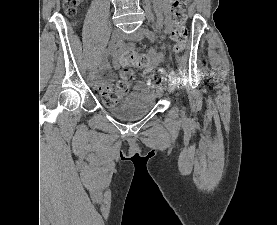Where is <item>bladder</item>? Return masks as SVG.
<instances>
[{"label":"bladder","mask_w":277,"mask_h":225,"mask_svg":"<svg viewBox=\"0 0 277 225\" xmlns=\"http://www.w3.org/2000/svg\"><path fill=\"white\" fill-rule=\"evenodd\" d=\"M159 93L152 89L134 90L120 101L107 104L108 111L118 119L135 121L148 115L156 105Z\"/></svg>","instance_id":"1"}]
</instances>
